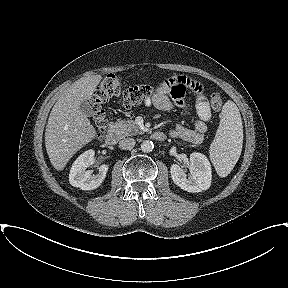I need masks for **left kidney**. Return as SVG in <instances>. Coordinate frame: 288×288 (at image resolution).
<instances>
[{"instance_id": "obj_1", "label": "left kidney", "mask_w": 288, "mask_h": 288, "mask_svg": "<svg viewBox=\"0 0 288 288\" xmlns=\"http://www.w3.org/2000/svg\"><path fill=\"white\" fill-rule=\"evenodd\" d=\"M170 173L173 182L181 189L188 192H201L207 190L211 185V165L207 157L201 153L194 152L190 155V174L177 164H172Z\"/></svg>"}]
</instances>
